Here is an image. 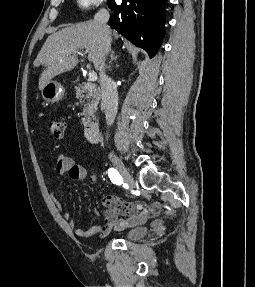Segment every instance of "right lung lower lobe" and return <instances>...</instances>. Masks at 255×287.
I'll use <instances>...</instances> for the list:
<instances>
[{
  "mask_svg": "<svg viewBox=\"0 0 255 287\" xmlns=\"http://www.w3.org/2000/svg\"><path fill=\"white\" fill-rule=\"evenodd\" d=\"M165 1L122 0L121 5L115 3L110 7L114 15L108 24L152 58L165 33Z\"/></svg>",
  "mask_w": 255,
  "mask_h": 287,
  "instance_id": "obj_1",
  "label": "right lung lower lobe"
}]
</instances>
